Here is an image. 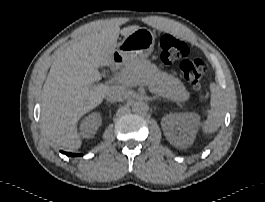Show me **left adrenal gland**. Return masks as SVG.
<instances>
[{"label":"left adrenal gland","mask_w":265,"mask_h":202,"mask_svg":"<svg viewBox=\"0 0 265 202\" xmlns=\"http://www.w3.org/2000/svg\"><path fill=\"white\" fill-rule=\"evenodd\" d=\"M157 99H159V100H160L161 98H160V97H158V96H154V97H153V100H154V101H155V100H157Z\"/></svg>","instance_id":"a2214340"}]
</instances>
